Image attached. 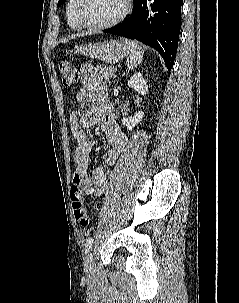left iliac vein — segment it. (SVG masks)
I'll list each match as a JSON object with an SVG mask.
<instances>
[{"label": "left iliac vein", "mask_w": 239, "mask_h": 303, "mask_svg": "<svg viewBox=\"0 0 239 303\" xmlns=\"http://www.w3.org/2000/svg\"><path fill=\"white\" fill-rule=\"evenodd\" d=\"M84 266L86 269H91L93 267V253L88 252L84 258Z\"/></svg>", "instance_id": "1"}]
</instances>
